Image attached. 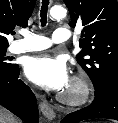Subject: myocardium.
<instances>
[{
	"mask_svg": "<svg viewBox=\"0 0 118 123\" xmlns=\"http://www.w3.org/2000/svg\"><path fill=\"white\" fill-rule=\"evenodd\" d=\"M68 91L58 95L59 100L69 106L85 104L92 95V86L85 75L74 76L70 82Z\"/></svg>",
	"mask_w": 118,
	"mask_h": 123,
	"instance_id": "myocardium-1",
	"label": "myocardium"
}]
</instances>
